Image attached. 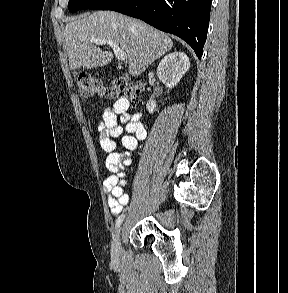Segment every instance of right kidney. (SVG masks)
Returning <instances> with one entry per match:
<instances>
[{
  "label": "right kidney",
  "mask_w": 288,
  "mask_h": 293,
  "mask_svg": "<svg viewBox=\"0 0 288 293\" xmlns=\"http://www.w3.org/2000/svg\"><path fill=\"white\" fill-rule=\"evenodd\" d=\"M189 68L190 61L187 55L183 52H173L161 60L157 68V75L166 87L172 89L179 83ZM146 108L149 113H153L156 110V102L150 99Z\"/></svg>",
  "instance_id": "1"
}]
</instances>
